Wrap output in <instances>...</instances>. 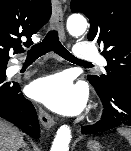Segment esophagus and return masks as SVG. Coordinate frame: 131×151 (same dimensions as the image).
<instances>
[{"mask_svg": "<svg viewBox=\"0 0 131 151\" xmlns=\"http://www.w3.org/2000/svg\"><path fill=\"white\" fill-rule=\"evenodd\" d=\"M51 24L54 29H57L60 36L64 37V28H63V10L60 0H52V19ZM38 116L41 124L45 129H51L55 121L43 108H39Z\"/></svg>", "mask_w": 131, "mask_h": 151, "instance_id": "esophagus-1", "label": "esophagus"}]
</instances>
